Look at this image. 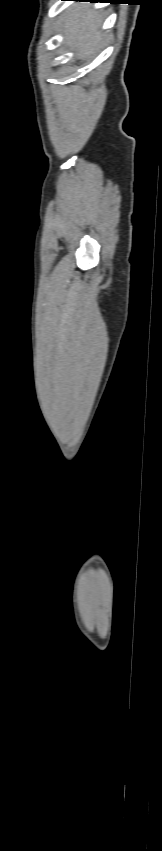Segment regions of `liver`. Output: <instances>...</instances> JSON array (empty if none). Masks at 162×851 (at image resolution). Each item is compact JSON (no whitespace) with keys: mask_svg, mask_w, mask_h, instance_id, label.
Segmentation results:
<instances>
[{"mask_svg":"<svg viewBox=\"0 0 162 851\" xmlns=\"http://www.w3.org/2000/svg\"><path fill=\"white\" fill-rule=\"evenodd\" d=\"M101 25V12L92 10L89 4L75 3L61 15L58 30L75 56L86 60L96 56L103 44Z\"/></svg>","mask_w":162,"mask_h":851,"instance_id":"obj_1","label":"liver"}]
</instances>
